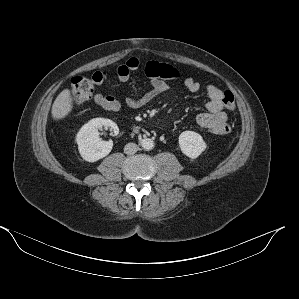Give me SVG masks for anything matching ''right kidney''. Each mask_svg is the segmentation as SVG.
Masks as SVG:
<instances>
[{"mask_svg": "<svg viewBox=\"0 0 299 299\" xmlns=\"http://www.w3.org/2000/svg\"><path fill=\"white\" fill-rule=\"evenodd\" d=\"M108 127L114 131V135L119 133V128L115 122L106 118H94L86 123L79 130L76 142L81 157L87 162H96L106 157L112 150V140L105 141L99 138V129Z\"/></svg>", "mask_w": 299, "mask_h": 299, "instance_id": "1", "label": "right kidney"}]
</instances>
